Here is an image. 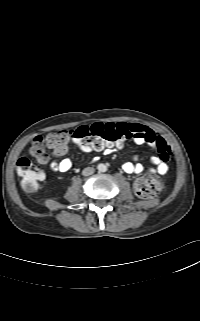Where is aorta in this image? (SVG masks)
<instances>
[{"mask_svg": "<svg viewBox=\"0 0 200 321\" xmlns=\"http://www.w3.org/2000/svg\"><path fill=\"white\" fill-rule=\"evenodd\" d=\"M97 168L99 172H105L107 170V166L104 164H99Z\"/></svg>", "mask_w": 200, "mask_h": 321, "instance_id": "762f6f07", "label": "aorta"}]
</instances>
